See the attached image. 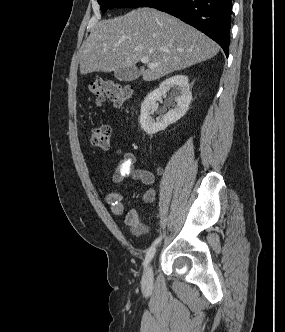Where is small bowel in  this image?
Instances as JSON below:
<instances>
[{"label":"small bowel","mask_w":285,"mask_h":332,"mask_svg":"<svg viewBox=\"0 0 285 332\" xmlns=\"http://www.w3.org/2000/svg\"><path fill=\"white\" fill-rule=\"evenodd\" d=\"M116 153L122 156L111 179L112 184L116 189L105 195V201L114 215H121L124 211V205L122 202V195L118 189L123 180L131 178L133 181H139L144 185L151 186L155 182V175L149 170L134 167L136 157L133 152L119 148ZM158 173L161 174V171ZM144 198L147 201H152L154 198V192L152 190L148 191ZM140 222L141 217L137 212L131 211L127 214L126 223L128 225L137 226Z\"/></svg>","instance_id":"small-bowel-1"}]
</instances>
